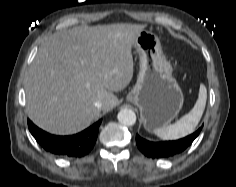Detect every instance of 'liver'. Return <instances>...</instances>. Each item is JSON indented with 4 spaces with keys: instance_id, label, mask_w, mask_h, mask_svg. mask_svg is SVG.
Wrapping results in <instances>:
<instances>
[{
    "instance_id": "1",
    "label": "liver",
    "mask_w": 236,
    "mask_h": 187,
    "mask_svg": "<svg viewBox=\"0 0 236 187\" xmlns=\"http://www.w3.org/2000/svg\"><path fill=\"white\" fill-rule=\"evenodd\" d=\"M145 25L79 26L50 36L25 79L27 112L41 129L71 135L118 103L133 77L131 53ZM100 101L102 108L94 103Z\"/></svg>"
}]
</instances>
